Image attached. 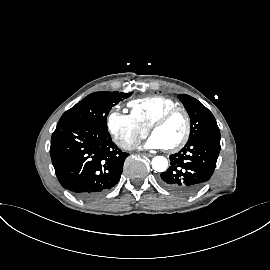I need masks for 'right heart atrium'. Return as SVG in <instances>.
Here are the masks:
<instances>
[{"label": "right heart atrium", "instance_id": "obj_1", "mask_svg": "<svg viewBox=\"0 0 270 270\" xmlns=\"http://www.w3.org/2000/svg\"><path fill=\"white\" fill-rule=\"evenodd\" d=\"M106 125L116 143L124 149H132L148 134V128L141 125L131 113L116 109L108 114Z\"/></svg>", "mask_w": 270, "mask_h": 270}]
</instances>
